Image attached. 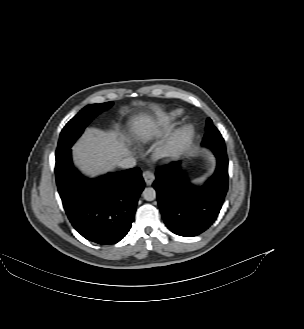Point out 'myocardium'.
<instances>
[{"instance_id":"obj_1","label":"myocardium","mask_w":304,"mask_h":329,"mask_svg":"<svg viewBox=\"0 0 304 329\" xmlns=\"http://www.w3.org/2000/svg\"><path fill=\"white\" fill-rule=\"evenodd\" d=\"M193 135V127L185 125L171 138L159 144L155 149L158 158L166 159L177 155Z\"/></svg>"}]
</instances>
